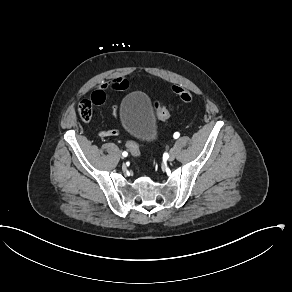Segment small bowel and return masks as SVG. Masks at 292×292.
Listing matches in <instances>:
<instances>
[{"label":"small bowel","mask_w":292,"mask_h":292,"mask_svg":"<svg viewBox=\"0 0 292 292\" xmlns=\"http://www.w3.org/2000/svg\"><path fill=\"white\" fill-rule=\"evenodd\" d=\"M102 88H108L109 90H125L128 87V82L124 78H117L109 82H103L101 84ZM119 106L117 104H114L111 109V115L113 117H116L118 115ZM120 135V132L117 128L112 129H105L101 130L97 133V136L99 138H102L104 136H108L109 138H117Z\"/></svg>","instance_id":"1"}]
</instances>
